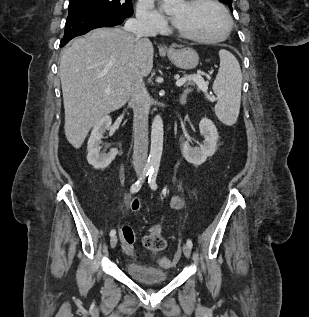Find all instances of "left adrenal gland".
<instances>
[{
  "mask_svg": "<svg viewBox=\"0 0 309 317\" xmlns=\"http://www.w3.org/2000/svg\"><path fill=\"white\" fill-rule=\"evenodd\" d=\"M192 90L191 89H185L182 93V95L180 96V102L181 103H185L186 102V98H187V95L191 92Z\"/></svg>",
  "mask_w": 309,
  "mask_h": 317,
  "instance_id": "a2214340",
  "label": "left adrenal gland"
}]
</instances>
